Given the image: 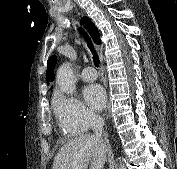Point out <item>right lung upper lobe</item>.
Here are the masks:
<instances>
[{"mask_svg":"<svg viewBox=\"0 0 177 169\" xmlns=\"http://www.w3.org/2000/svg\"><path fill=\"white\" fill-rule=\"evenodd\" d=\"M85 21L90 22L88 18L85 17ZM90 31H91V36L94 39L96 44H100V35L97 27L90 22ZM57 61L56 56H51L50 59L48 60V68L46 72V79L49 82H52L54 80V66Z\"/></svg>","mask_w":177,"mask_h":169,"instance_id":"right-lung-upper-lobe-1","label":"right lung upper lobe"}]
</instances>
